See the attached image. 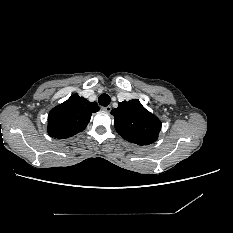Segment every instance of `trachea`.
Returning <instances> with one entry per match:
<instances>
[{
	"instance_id": "3493384b",
	"label": "trachea",
	"mask_w": 233,
	"mask_h": 233,
	"mask_svg": "<svg viewBox=\"0 0 233 233\" xmlns=\"http://www.w3.org/2000/svg\"><path fill=\"white\" fill-rule=\"evenodd\" d=\"M111 99H110V96L108 94H102L99 96L98 98V102L101 106H108L109 103H110Z\"/></svg>"
}]
</instances>
